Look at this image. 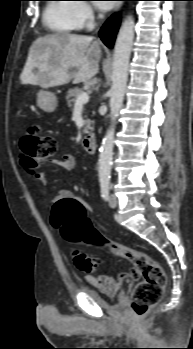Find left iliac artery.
I'll return each mask as SVG.
<instances>
[{
    "instance_id": "obj_1",
    "label": "left iliac artery",
    "mask_w": 193,
    "mask_h": 349,
    "mask_svg": "<svg viewBox=\"0 0 193 349\" xmlns=\"http://www.w3.org/2000/svg\"><path fill=\"white\" fill-rule=\"evenodd\" d=\"M111 188V183L108 181H104L101 183V196L104 200H108L109 198V190Z\"/></svg>"
}]
</instances>
